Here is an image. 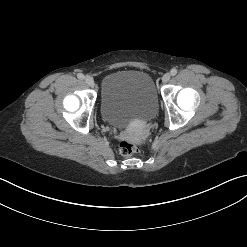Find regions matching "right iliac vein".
I'll return each instance as SVG.
<instances>
[{
  "label": "right iliac vein",
  "instance_id": "1",
  "mask_svg": "<svg viewBox=\"0 0 247 247\" xmlns=\"http://www.w3.org/2000/svg\"><path fill=\"white\" fill-rule=\"evenodd\" d=\"M85 82L87 85H89L90 87H93L94 86V80L92 77L90 76H86L85 77Z\"/></svg>",
  "mask_w": 247,
  "mask_h": 247
}]
</instances>
